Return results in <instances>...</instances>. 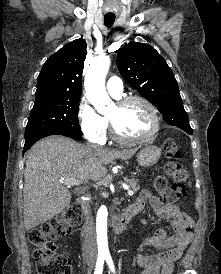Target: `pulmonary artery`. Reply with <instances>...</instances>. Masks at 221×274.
Segmentation results:
<instances>
[{"instance_id":"pulmonary-artery-1","label":"pulmonary artery","mask_w":221,"mask_h":274,"mask_svg":"<svg viewBox=\"0 0 221 274\" xmlns=\"http://www.w3.org/2000/svg\"><path fill=\"white\" fill-rule=\"evenodd\" d=\"M106 88L112 96L118 98L123 92L122 80L117 76H112L107 80Z\"/></svg>"}]
</instances>
